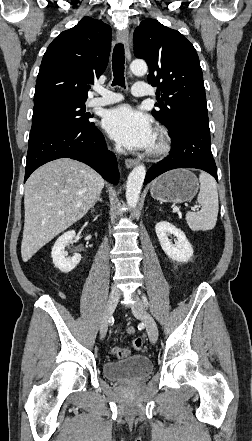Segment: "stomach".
Wrapping results in <instances>:
<instances>
[{
	"label": "stomach",
	"mask_w": 252,
	"mask_h": 441,
	"mask_svg": "<svg viewBox=\"0 0 252 441\" xmlns=\"http://www.w3.org/2000/svg\"><path fill=\"white\" fill-rule=\"evenodd\" d=\"M197 177L187 169L169 171L153 181L151 196L162 202L182 203L191 200L197 193Z\"/></svg>",
	"instance_id": "obj_1"
}]
</instances>
